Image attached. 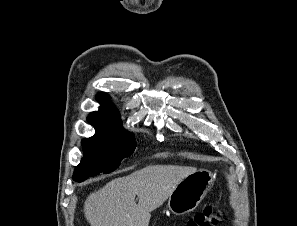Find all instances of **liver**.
I'll return each mask as SVG.
<instances>
[{
  "label": "liver",
  "mask_w": 297,
  "mask_h": 226,
  "mask_svg": "<svg viewBox=\"0 0 297 226\" xmlns=\"http://www.w3.org/2000/svg\"><path fill=\"white\" fill-rule=\"evenodd\" d=\"M196 171L188 166L150 165L113 179L88 196L85 217L91 226H148L151 212L168 199L182 179Z\"/></svg>",
  "instance_id": "1"
}]
</instances>
